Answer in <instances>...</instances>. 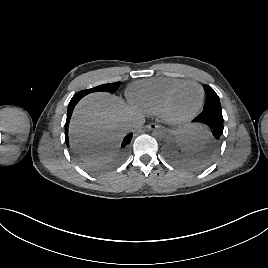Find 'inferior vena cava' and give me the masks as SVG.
<instances>
[{
    "label": "inferior vena cava",
    "instance_id": "inferior-vena-cava-1",
    "mask_svg": "<svg viewBox=\"0 0 268 268\" xmlns=\"http://www.w3.org/2000/svg\"><path fill=\"white\" fill-rule=\"evenodd\" d=\"M138 122V123H141L142 121L139 120V121H136V120H133L129 125H128V129L129 130H133L135 128V123Z\"/></svg>",
    "mask_w": 268,
    "mask_h": 268
}]
</instances>
